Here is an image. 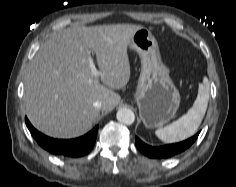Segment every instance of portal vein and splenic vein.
Wrapping results in <instances>:
<instances>
[{
    "label": "portal vein and splenic vein",
    "mask_w": 236,
    "mask_h": 187,
    "mask_svg": "<svg viewBox=\"0 0 236 187\" xmlns=\"http://www.w3.org/2000/svg\"><path fill=\"white\" fill-rule=\"evenodd\" d=\"M89 67H90V70H91V74L94 76V77H99L102 75V73L100 71L97 70L96 66H95V63L93 61V59L89 56Z\"/></svg>",
    "instance_id": "1"
}]
</instances>
